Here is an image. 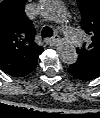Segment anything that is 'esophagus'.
<instances>
[{"instance_id": "esophagus-1", "label": "esophagus", "mask_w": 100, "mask_h": 118, "mask_svg": "<svg viewBox=\"0 0 100 118\" xmlns=\"http://www.w3.org/2000/svg\"><path fill=\"white\" fill-rule=\"evenodd\" d=\"M59 40L60 37L57 34H55L52 38L46 39L45 42L50 46H54L58 43Z\"/></svg>"}]
</instances>
